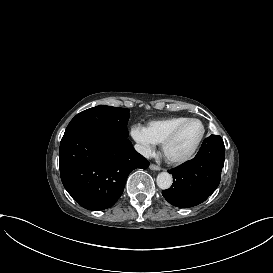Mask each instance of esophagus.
I'll use <instances>...</instances> for the list:
<instances>
[{
	"label": "esophagus",
	"mask_w": 273,
	"mask_h": 273,
	"mask_svg": "<svg viewBox=\"0 0 273 273\" xmlns=\"http://www.w3.org/2000/svg\"><path fill=\"white\" fill-rule=\"evenodd\" d=\"M149 168H150L151 170H153V171H160V170H161V167H159V166H157V165H155V164H151V165L149 166Z\"/></svg>",
	"instance_id": "esophagus-1"
}]
</instances>
